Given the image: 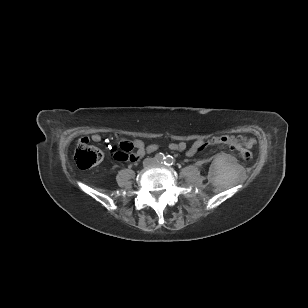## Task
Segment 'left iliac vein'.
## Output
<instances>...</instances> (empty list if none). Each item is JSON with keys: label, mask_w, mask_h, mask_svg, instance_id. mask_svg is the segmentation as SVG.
Segmentation results:
<instances>
[{"label": "left iliac vein", "mask_w": 308, "mask_h": 308, "mask_svg": "<svg viewBox=\"0 0 308 308\" xmlns=\"http://www.w3.org/2000/svg\"><path fill=\"white\" fill-rule=\"evenodd\" d=\"M156 165H159V162H155Z\"/></svg>", "instance_id": "1"}]
</instances>
